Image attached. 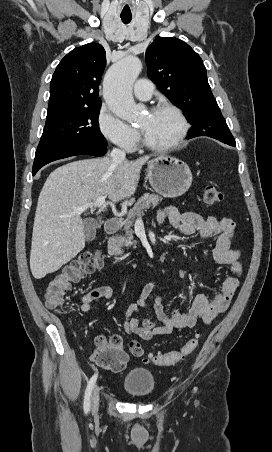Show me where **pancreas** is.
<instances>
[{
    "instance_id": "obj_1",
    "label": "pancreas",
    "mask_w": 272,
    "mask_h": 452,
    "mask_svg": "<svg viewBox=\"0 0 272 452\" xmlns=\"http://www.w3.org/2000/svg\"><path fill=\"white\" fill-rule=\"evenodd\" d=\"M160 201H162V197L149 193L144 194L137 200L134 207L128 212L126 220L123 221L125 235L118 238L120 245L136 248L137 241L133 240L134 231L131 228L135 218L142 217L147 209L157 206Z\"/></svg>"
}]
</instances>
